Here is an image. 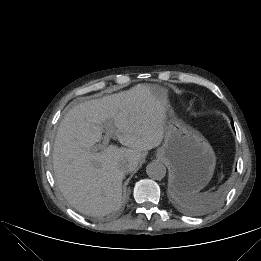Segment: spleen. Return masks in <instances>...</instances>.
I'll use <instances>...</instances> for the list:
<instances>
[{"mask_svg": "<svg viewBox=\"0 0 261 261\" xmlns=\"http://www.w3.org/2000/svg\"><path fill=\"white\" fill-rule=\"evenodd\" d=\"M207 195V193L203 194H184L179 195L178 200L190 207H197L201 203L202 198Z\"/></svg>", "mask_w": 261, "mask_h": 261, "instance_id": "3e777b00", "label": "spleen"}]
</instances>
